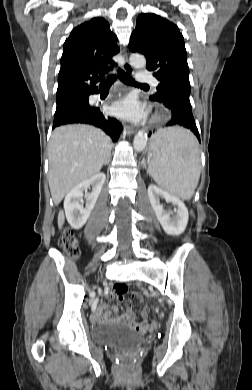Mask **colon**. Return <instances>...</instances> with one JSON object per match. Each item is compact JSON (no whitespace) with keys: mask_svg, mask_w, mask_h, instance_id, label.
I'll return each instance as SVG.
<instances>
[{"mask_svg":"<svg viewBox=\"0 0 252 390\" xmlns=\"http://www.w3.org/2000/svg\"><path fill=\"white\" fill-rule=\"evenodd\" d=\"M60 246L69 255L71 259L75 260L78 257V242L72 230L66 229L64 231L60 240ZM113 290L119 295H124L127 292L128 288L125 284L118 283L114 285ZM130 298L139 300L142 297L139 293L132 292L130 293Z\"/></svg>","mask_w":252,"mask_h":390,"instance_id":"obj_1","label":"colon"}]
</instances>
